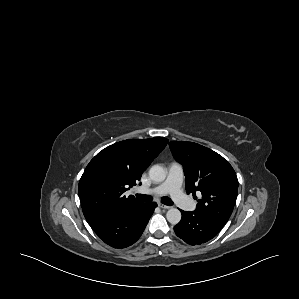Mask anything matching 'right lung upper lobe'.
I'll return each mask as SVG.
<instances>
[{"instance_id": "cb5924a9", "label": "right lung upper lobe", "mask_w": 299, "mask_h": 299, "mask_svg": "<svg viewBox=\"0 0 299 299\" xmlns=\"http://www.w3.org/2000/svg\"><path fill=\"white\" fill-rule=\"evenodd\" d=\"M168 139H130L100 151L87 165L78 186L88 223L140 203L123 193L136 185L142 173L165 148Z\"/></svg>"}]
</instances>
